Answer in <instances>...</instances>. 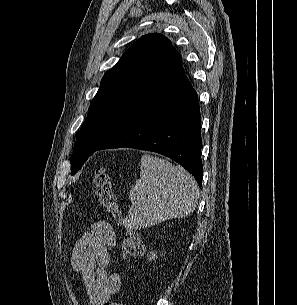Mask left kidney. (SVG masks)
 <instances>
[{
	"label": "left kidney",
	"instance_id": "5707ae66",
	"mask_svg": "<svg viewBox=\"0 0 297 305\" xmlns=\"http://www.w3.org/2000/svg\"><path fill=\"white\" fill-rule=\"evenodd\" d=\"M155 258H157V252H150V254L148 255V260L149 261H152L154 260Z\"/></svg>",
	"mask_w": 297,
	"mask_h": 305
}]
</instances>
